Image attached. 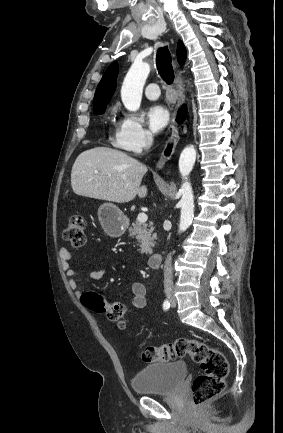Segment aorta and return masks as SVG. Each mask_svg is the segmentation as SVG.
Here are the masks:
<instances>
[{
  "label": "aorta",
  "mask_w": 283,
  "mask_h": 433,
  "mask_svg": "<svg viewBox=\"0 0 283 433\" xmlns=\"http://www.w3.org/2000/svg\"><path fill=\"white\" fill-rule=\"evenodd\" d=\"M150 73L148 63L134 62L130 67L121 88V99L129 111L140 108L143 87ZM196 160V150L193 145L183 149L179 158V171L185 180L179 190L182 195L179 205L181 207L179 232H184L191 225L194 217V196L187 177L193 169Z\"/></svg>",
  "instance_id": "762f6f07"
}]
</instances>
